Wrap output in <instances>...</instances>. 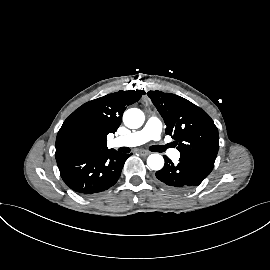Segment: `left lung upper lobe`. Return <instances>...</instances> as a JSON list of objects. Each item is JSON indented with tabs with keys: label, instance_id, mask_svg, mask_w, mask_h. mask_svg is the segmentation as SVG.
<instances>
[{
	"label": "left lung upper lobe",
	"instance_id": "left-lung-upper-lobe-1",
	"mask_svg": "<svg viewBox=\"0 0 270 270\" xmlns=\"http://www.w3.org/2000/svg\"><path fill=\"white\" fill-rule=\"evenodd\" d=\"M148 97L166 124L181 158L191 159L210 169L219 149L218 129L210 116L190 101L171 93L149 91Z\"/></svg>",
	"mask_w": 270,
	"mask_h": 270
}]
</instances>
